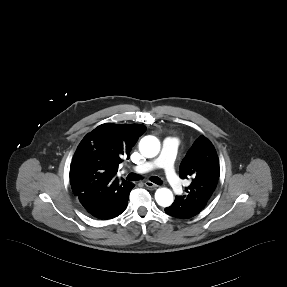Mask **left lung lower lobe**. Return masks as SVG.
Instances as JSON below:
<instances>
[{
	"instance_id": "obj_1",
	"label": "left lung lower lobe",
	"mask_w": 287,
	"mask_h": 287,
	"mask_svg": "<svg viewBox=\"0 0 287 287\" xmlns=\"http://www.w3.org/2000/svg\"><path fill=\"white\" fill-rule=\"evenodd\" d=\"M165 212L168 215L177 218H190L198 214L200 211H198L197 209H189L187 207H184L183 201L179 200V197L176 196L173 204L165 208Z\"/></svg>"
}]
</instances>
